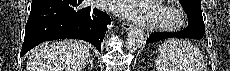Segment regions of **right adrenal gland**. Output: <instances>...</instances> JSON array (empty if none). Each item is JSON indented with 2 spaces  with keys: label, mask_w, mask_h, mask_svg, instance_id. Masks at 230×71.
Returning <instances> with one entry per match:
<instances>
[{
  "label": "right adrenal gland",
  "mask_w": 230,
  "mask_h": 71,
  "mask_svg": "<svg viewBox=\"0 0 230 71\" xmlns=\"http://www.w3.org/2000/svg\"><path fill=\"white\" fill-rule=\"evenodd\" d=\"M89 64H90V68L93 69V67H94V65H93V58H90L88 60L87 65H89ZM85 67H87V66H85Z\"/></svg>",
  "instance_id": "obj_1"
}]
</instances>
